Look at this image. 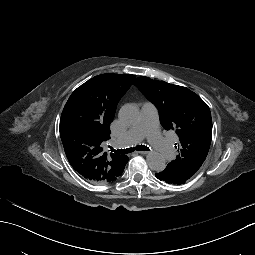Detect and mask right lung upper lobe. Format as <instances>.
<instances>
[{
	"label": "right lung upper lobe",
	"mask_w": 255,
	"mask_h": 255,
	"mask_svg": "<svg viewBox=\"0 0 255 255\" xmlns=\"http://www.w3.org/2000/svg\"><path fill=\"white\" fill-rule=\"evenodd\" d=\"M134 75L101 74L79 86L60 119V137L71 166L87 181L106 184L123 172L128 157L103 151L116 106Z\"/></svg>",
	"instance_id": "1"
}]
</instances>
